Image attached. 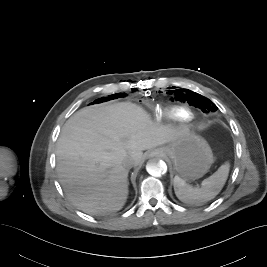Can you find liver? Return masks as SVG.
Masks as SVG:
<instances>
[{
  "label": "liver",
  "mask_w": 267,
  "mask_h": 267,
  "mask_svg": "<svg viewBox=\"0 0 267 267\" xmlns=\"http://www.w3.org/2000/svg\"><path fill=\"white\" fill-rule=\"evenodd\" d=\"M185 131L153 122L130 102L82 108L66 121L57 142L60 184L85 213L117 212L128 197L124 160L141 165L142 151L170 143Z\"/></svg>",
  "instance_id": "6515ba94"
}]
</instances>
